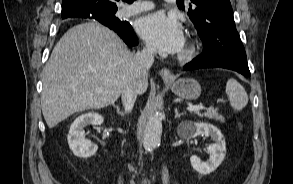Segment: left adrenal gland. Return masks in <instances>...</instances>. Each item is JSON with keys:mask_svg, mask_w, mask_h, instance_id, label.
I'll return each mask as SVG.
<instances>
[{"mask_svg": "<svg viewBox=\"0 0 293 184\" xmlns=\"http://www.w3.org/2000/svg\"><path fill=\"white\" fill-rule=\"evenodd\" d=\"M182 115H184V113H179L178 109L176 108V109H175V116H174V118H175V119H178V118H180Z\"/></svg>", "mask_w": 293, "mask_h": 184, "instance_id": "a2214340", "label": "left adrenal gland"}]
</instances>
